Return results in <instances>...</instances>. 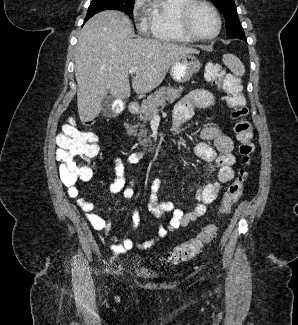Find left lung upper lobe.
Here are the masks:
<instances>
[{"label":"left lung upper lobe","mask_w":298,"mask_h":325,"mask_svg":"<svg viewBox=\"0 0 298 325\" xmlns=\"http://www.w3.org/2000/svg\"><path fill=\"white\" fill-rule=\"evenodd\" d=\"M223 13L226 20L227 36L229 38H242L245 36L243 28L238 19L234 0H212Z\"/></svg>","instance_id":"5c2ea615"}]
</instances>
